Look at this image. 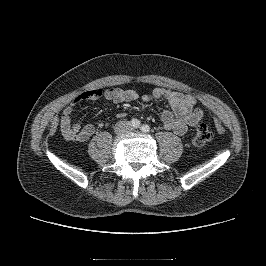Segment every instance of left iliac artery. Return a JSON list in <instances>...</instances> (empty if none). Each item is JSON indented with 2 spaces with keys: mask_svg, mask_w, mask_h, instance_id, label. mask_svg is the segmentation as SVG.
<instances>
[{
  "mask_svg": "<svg viewBox=\"0 0 266 266\" xmlns=\"http://www.w3.org/2000/svg\"><path fill=\"white\" fill-rule=\"evenodd\" d=\"M141 131L143 132H149L150 131V126L147 124H143L141 127Z\"/></svg>",
  "mask_w": 266,
  "mask_h": 266,
  "instance_id": "obj_1",
  "label": "left iliac artery"
}]
</instances>
